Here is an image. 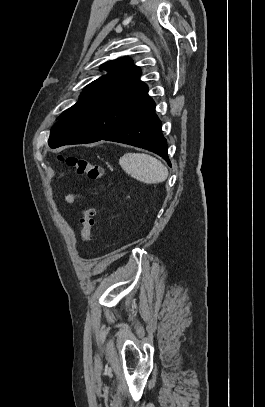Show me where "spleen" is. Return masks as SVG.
<instances>
[{
  "mask_svg": "<svg viewBox=\"0 0 265 407\" xmlns=\"http://www.w3.org/2000/svg\"><path fill=\"white\" fill-rule=\"evenodd\" d=\"M119 164L126 173L147 184L161 183L168 177L165 165L145 153H126Z\"/></svg>",
  "mask_w": 265,
  "mask_h": 407,
  "instance_id": "spleen-1",
  "label": "spleen"
}]
</instances>
